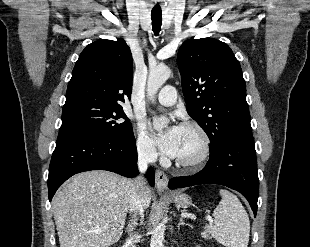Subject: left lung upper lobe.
I'll return each mask as SVG.
<instances>
[{"label":"left lung upper lobe","instance_id":"5c2ea615","mask_svg":"<svg viewBox=\"0 0 310 247\" xmlns=\"http://www.w3.org/2000/svg\"><path fill=\"white\" fill-rule=\"evenodd\" d=\"M177 63L187 112L208 135L210 150L252 134L245 80L226 43L214 38L187 40L178 50Z\"/></svg>","mask_w":310,"mask_h":247}]
</instances>
